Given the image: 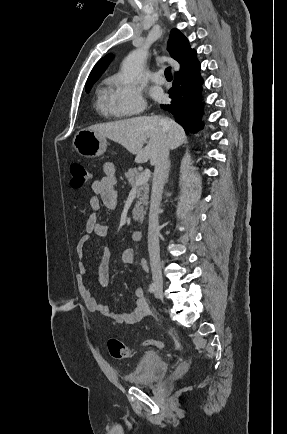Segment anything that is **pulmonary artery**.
<instances>
[{
    "label": "pulmonary artery",
    "mask_w": 287,
    "mask_h": 434,
    "mask_svg": "<svg viewBox=\"0 0 287 434\" xmlns=\"http://www.w3.org/2000/svg\"><path fill=\"white\" fill-rule=\"evenodd\" d=\"M151 79H152V81H154L156 83H164V81H165V78L163 76L162 71H157V72L152 73Z\"/></svg>",
    "instance_id": "1"
}]
</instances>
